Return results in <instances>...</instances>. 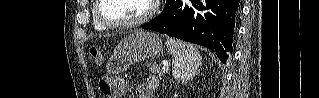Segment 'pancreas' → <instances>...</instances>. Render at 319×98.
<instances>
[{"label":"pancreas","mask_w":319,"mask_h":98,"mask_svg":"<svg viewBox=\"0 0 319 98\" xmlns=\"http://www.w3.org/2000/svg\"><path fill=\"white\" fill-rule=\"evenodd\" d=\"M150 72L156 76V77H161L166 74V72L160 68V66L156 63H149L148 64Z\"/></svg>","instance_id":"cf45deb5"}]
</instances>
